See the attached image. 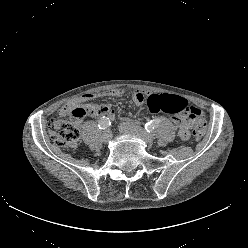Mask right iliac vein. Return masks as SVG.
Wrapping results in <instances>:
<instances>
[{
    "instance_id": "right-iliac-vein-1",
    "label": "right iliac vein",
    "mask_w": 248,
    "mask_h": 248,
    "mask_svg": "<svg viewBox=\"0 0 248 248\" xmlns=\"http://www.w3.org/2000/svg\"><path fill=\"white\" fill-rule=\"evenodd\" d=\"M112 137V134L109 130H106L102 133L101 140L103 143H108Z\"/></svg>"
}]
</instances>
